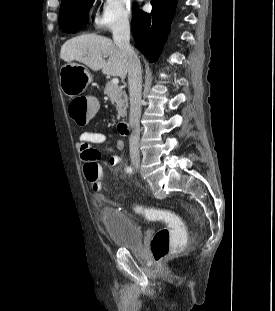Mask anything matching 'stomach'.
I'll return each instance as SVG.
<instances>
[{"mask_svg": "<svg viewBox=\"0 0 275 311\" xmlns=\"http://www.w3.org/2000/svg\"><path fill=\"white\" fill-rule=\"evenodd\" d=\"M59 79L63 93L69 97H75L85 91L92 81V76L84 66L66 63L60 69Z\"/></svg>", "mask_w": 275, "mask_h": 311, "instance_id": "1", "label": "stomach"}]
</instances>
